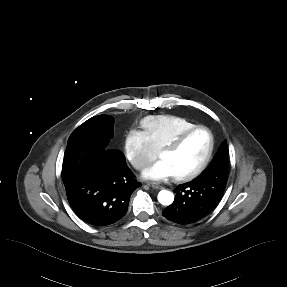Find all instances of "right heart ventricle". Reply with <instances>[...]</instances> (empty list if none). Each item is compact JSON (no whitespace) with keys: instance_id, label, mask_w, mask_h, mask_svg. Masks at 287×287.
Here are the masks:
<instances>
[{"instance_id":"1","label":"right heart ventricle","mask_w":287,"mask_h":287,"mask_svg":"<svg viewBox=\"0 0 287 287\" xmlns=\"http://www.w3.org/2000/svg\"><path fill=\"white\" fill-rule=\"evenodd\" d=\"M141 126L151 144L159 150L182 132L196 125L183 116L160 114L145 117L141 120Z\"/></svg>"}]
</instances>
